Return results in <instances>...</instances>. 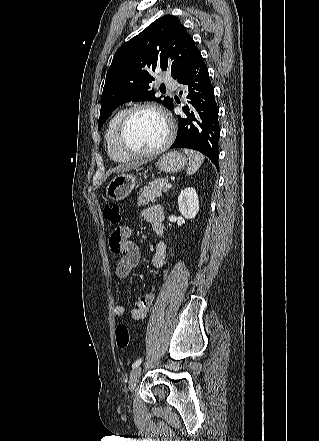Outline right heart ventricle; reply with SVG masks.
<instances>
[{"label":"right heart ventricle","instance_id":"right-heart-ventricle-1","mask_svg":"<svg viewBox=\"0 0 319 441\" xmlns=\"http://www.w3.org/2000/svg\"><path fill=\"white\" fill-rule=\"evenodd\" d=\"M126 108L117 110L110 118L106 130H105V144L109 157L116 162H126L130 160V157L124 154L117 145L116 131L118 124L126 112Z\"/></svg>","mask_w":319,"mask_h":441}]
</instances>
